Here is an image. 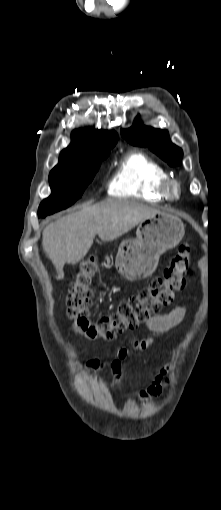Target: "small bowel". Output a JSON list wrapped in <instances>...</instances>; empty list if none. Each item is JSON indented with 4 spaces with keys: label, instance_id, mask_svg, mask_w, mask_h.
Here are the masks:
<instances>
[{
    "label": "small bowel",
    "instance_id": "c3829d8e",
    "mask_svg": "<svg viewBox=\"0 0 221 510\" xmlns=\"http://www.w3.org/2000/svg\"><path fill=\"white\" fill-rule=\"evenodd\" d=\"M186 309L183 306L175 307L171 312L162 315H154L146 320L145 325L148 329L153 331H164L175 327L185 317ZM129 347L123 346L116 351V357L108 362H104L98 358L89 360L80 366L89 374L93 375L98 373L104 368H109L113 374L112 387L115 389L123 381L124 367L127 359L130 356L131 350L142 352L147 350L151 343V339H138L130 337L128 339ZM167 367L162 368L158 373L153 376L152 384L140 393L142 400H147L150 397L157 396L162 390V383L167 381L166 377Z\"/></svg>",
    "mask_w": 221,
    "mask_h": 510
}]
</instances>
